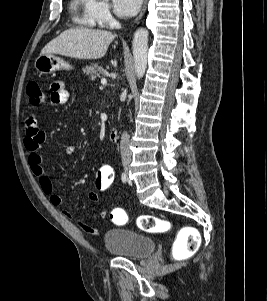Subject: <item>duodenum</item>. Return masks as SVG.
<instances>
[{
    "label": "duodenum",
    "mask_w": 267,
    "mask_h": 301,
    "mask_svg": "<svg viewBox=\"0 0 267 301\" xmlns=\"http://www.w3.org/2000/svg\"><path fill=\"white\" fill-rule=\"evenodd\" d=\"M118 135H119L118 129L113 128L109 132V139L111 141H116L118 139Z\"/></svg>",
    "instance_id": "duodenum-1"
}]
</instances>
